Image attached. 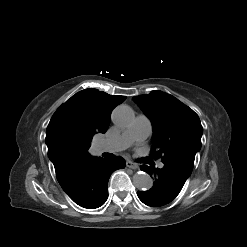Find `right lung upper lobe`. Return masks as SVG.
Returning a JSON list of instances; mask_svg holds the SVG:
<instances>
[{"label": "right lung upper lobe", "mask_w": 247, "mask_h": 247, "mask_svg": "<svg viewBox=\"0 0 247 247\" xmlns=\"http://www.w3.org/2000/svg\"><path fill=\"white\" fill-rule=\"evenodd\" d=\"M124 100V96L90 88L76 93L57 109L45 139L56 172L95 158L88 153L91 139L107 131L113 108Z\"/></svg>", "instance_id": "right-lung-upper-lobe-1"}]
</instances>
